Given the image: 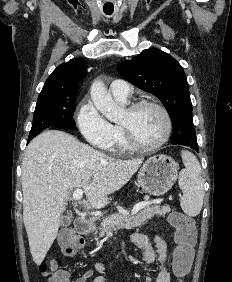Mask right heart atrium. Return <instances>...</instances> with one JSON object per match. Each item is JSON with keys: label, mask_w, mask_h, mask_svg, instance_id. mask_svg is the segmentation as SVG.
<instances>
[{"label": "right heart atrium", "mask_w": 232, "mask_h": 282, "mask_svg": "<svg viewBox=\"0 0 232 282\" xmlns=\"http://www.w3.org/2000/svg\"><path fill=\"white\" fill-rule=\"evenodd\" d=\"M76 123L84 139L93 147L109 150L114 142V130L87 98L83 99L76 112Z\"/></svg>", "instance_id": "d8ad5b80"}]
</instances>
